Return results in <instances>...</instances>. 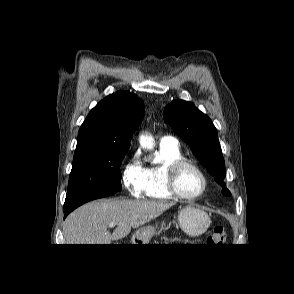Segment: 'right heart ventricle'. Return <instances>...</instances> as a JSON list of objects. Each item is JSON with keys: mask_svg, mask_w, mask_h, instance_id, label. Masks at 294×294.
Wrapping results in <instances>:
<instances>
[{"mask_svg": "<svg viewBox=\"0 0 294 294\" xmlns=\"http://www.w3.org/2000/svg\"><path fill=\"white\" fill-rule=\"evenodd\" d=\"M158 155L160 163L145 167L144 174V195L148 199L168 201L174 199L167 189V169L169 165L180 158H183L180 149L177 147L159 146Z\"/></svg>", "mask_w": 294, "mask_h": 294, "instance_id": "e07e8e85", "label": "right heart ventricle"}]
</instances>
